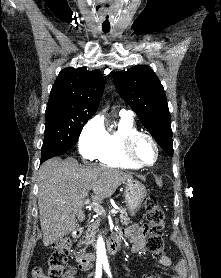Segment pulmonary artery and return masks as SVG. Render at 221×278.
Wrapping results in <instances>:
<instances>
[{
  "instance_id": "e3ab8cb5",
  "label": "pulmonary artery",
  "mask_w": 221,
  "mask_h": 278,
  "mask_svg": "<svg viewBox=\"0 0 221 278\" xmlns=\"http://www.w3.org/2000/svg\"><path fill=\"white\" fill-rule=\"evenodd\" d=\"M120 115L131 118L133 116V112L131 110L122 109L120 111Z\"/></svg>"
}]
</instances>
